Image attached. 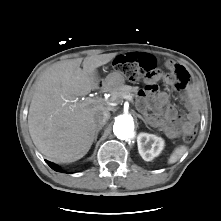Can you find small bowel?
I'll list each match as a JSON object with an SVG mask.
<instances>
[{"instance_id":"small-bowel-1","label":"small bowel","mask_w":221,"mask_h":221,"mask_svg":"<svg viewBox=\"0 0 221 221\" xmlns=\"http://www.w3.org/2000/svg\"><path fill=\"white\" fill-rule=\"evenodd\" d=\"M141 54L145 53L131 52L119 56L130 55L134 59ZM166 68L175 79L189 80V73L184 66L173 61H167ZM142 97L150 103L153 112L151 121L161 128L169 138H178L187 128L193 127L198 120L197 109L187 93L183 95L187 111L181 114L174 106L169 104V96L163 91L151 87L147 94H142Z\"/></svg>"}]
</instances>
